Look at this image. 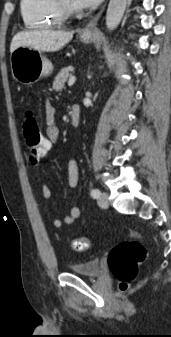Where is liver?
Masks as SVG:
<instances>
[{"mask_svg":"<svg viewBox=\"0 0 171 337\" xmlns=\"http://www.w3.org/2000/svg\"><path fill=\"white\" fill-rule=\"evenodd\" d=\"M73 37V32L66 31H23L17 33L10 44V52L20 47L29 46L43 52H55L66 45Z\"/></svg>","mask_w":171,"mask_h":337,"instance_id":"6515ba94","label":"liver"}]
</instances>
